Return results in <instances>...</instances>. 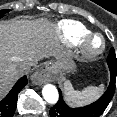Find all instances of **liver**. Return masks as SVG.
<instances>
[{"label":"liver","instance_id":"6515ba94","mask_svg":"<svg viewBox=\"0 0 117 117\" xmlns=\"http://www.w3.org/2000/svg\"><path fill=\"white\" fill-rule=\"evenodd\" d=\"M55 26L48 20L0 22V100L23 75L21 65L65 56Z\"/></svg>","mask_w":117,"mask_h":117}]
</instances>
